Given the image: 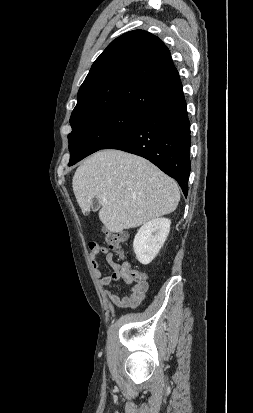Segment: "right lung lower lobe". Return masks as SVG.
<instances>
[{"label":"right lung lower lobe","instance_id":"obj_1","mask_svg":"<svg viewBox=\"0 0 253 413\" xmlns=\"http://www.w3.org/2000/svg\"><path fill=\"white\" fill-rule=\"evenodd\" d=\"M190 122L184 95L148 112L141 123L104 149H118L151 161L174 178L187 196Z\"/></svg>","mask_w":253,"mask_h":413}]
</instances>
